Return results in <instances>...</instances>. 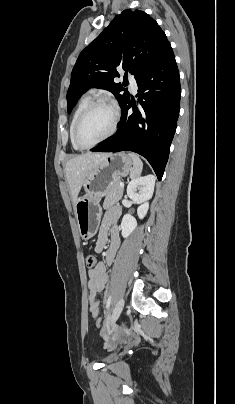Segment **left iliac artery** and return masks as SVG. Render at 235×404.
<instances>
[{
    "mask_svg": "<svg viewBox=\"0 0 235 404\" xmlns=\"http://www.w3.org/2000/svg\"><path fill=\"white\" fill-rule=\"evenodd\" d=\"M110 305H111V296H109L107 301H106V309L107 310L109 309Z\"/></svg>",
    "mask_w": 235,
    "mask_h": 404,
    "instance_id": "left-iliac-artery-1",
    "label": "left iliac artery"
}]
</instances>
